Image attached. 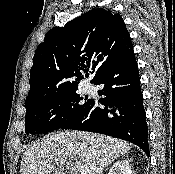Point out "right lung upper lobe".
Segmentation results:
<instances>
[{
    "instance_id": "obj_1",
    "label": "right lung upper lobe",
    "mask_w": 175,
    "mask_h": 174,
    "mask_svg": "<svg viewBox=\"0 0 175 174\" xmlns=\"http://www.w3.org/2000/svg\"><path fill=\"white\" fill-rule=\"evenodd\" d=\"M132 52L122 17L103 8L88 11L64 27H55L35 52L25 104L77 88L83 79L81 71L87 72L89 67L95 72L91 80L95 83L108 68Z\"/></svg>"
}]
</instances>
